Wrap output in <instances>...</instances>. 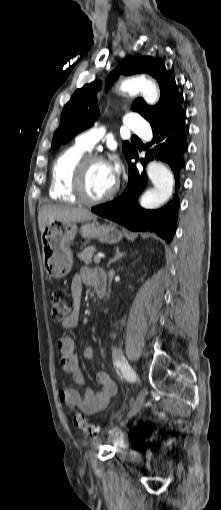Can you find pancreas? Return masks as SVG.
<instances>
[{
    "mask_svg": "<svg viewBox=\"0 0 221 510\" xmlns=\"http://www.w3.org/2000/svg\"><path fill=\"white\" fill-rule=\"evenodd\" d=\"M95 252L96 247L88 246L82 252L78 253L77 257L80 259V261L88 265L92 262V257Z\"/></svg>",
    "mask_w": 221,
    "mask_h": 510,
    "instance_id": "1",
    "label": "pancreas"
}]
</instances>
